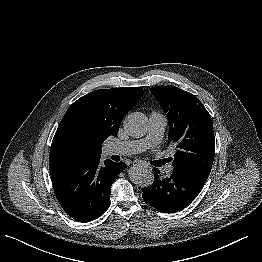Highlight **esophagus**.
I'll return each mask as SVG.
<instances>
[{
	"label": "esophagus",
	"instance_id": "esophagus-1",
	"mask_svg": "<svg viewBox=\"0 0 262 262\" xmlns=\"http://www.w3.org/2000/svg\"><path fill=\"white\" fill-rule=\"evenodd\" d=\"M133 166H144L145 168H149V166H147L146 164L142 163L141 161H136V162H133Z\"/></svg>",
	"mask_w": 262,
	"mask_h": 262
}]
</instances>
